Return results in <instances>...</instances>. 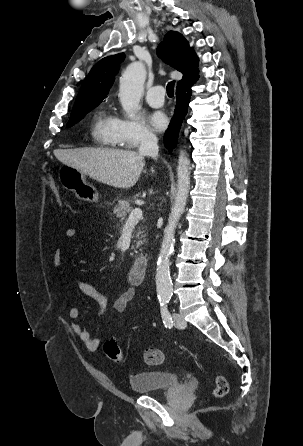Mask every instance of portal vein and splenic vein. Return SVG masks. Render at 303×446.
I'll use <instances>...</instances> for the list:
<instances>
[{
	"instance_id": "18ae733b",
	"label": "portal vein and splenic vein",
	"mask_w": 303,
	"mask_h": 446,
	"mask_svg": "<svg viewBox=\"0 0 303 446\" xmlns=\"http://www.w3.org/2000/svg\"><path fill=\"white\" fill-rule=\"evenodd\" d=\"M140 219H142V210L140 208H135L126 220V225L137 223Z\"/></svg>"
}]
</instances>
